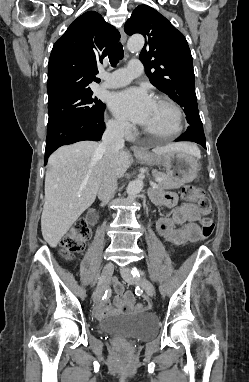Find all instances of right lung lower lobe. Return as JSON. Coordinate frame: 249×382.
Masks as SVG:
<instances>
[{
	"instance_id": "98d812e1",
	"label": "right lung lower lobe",
	"mask_w": 249,
	"mask_h": 382,
	"mask_svg": "<svg viewBox=\"0 0 249 382\" xmlns=\"http://www.w3.org/2000/svg\"><path fill=\"white\" fill-rule=\"evenodd\" d=\"M105 130L104 117L95 119H77L48 128L44 164L48 157L60 146L83 140L98 141Z\"/></svg>"
}]
</instances>
